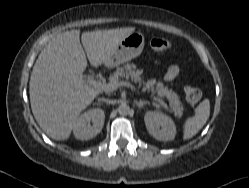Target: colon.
<instances>
[{"instance_id":"5ec220e1","label":"colon","mask_w":249,"mask_h":188,"mask_svg":"<svg viewBox=\"0 0 249 188\" xmlns=\"http://www.w3.org/2000/svg\"><path fill=\"white\" fill-rule=\"evenodd\" d=\"M150 45L156 51H166L171 47V41L166 38L155 37L151 39ZM184 93H185L186 100L190 104L194 105L198 103L201 99V92L199 89L195 87H192L189 85L185 86Z\"/></svg>"}]
</instances>
